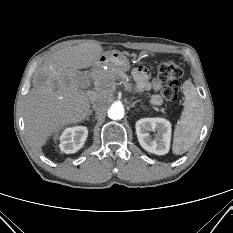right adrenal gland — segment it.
Instances as JSON below:
<instances>
[{"instance_id": "1", "label": "right adrenal gland", "mask_w": 233, "mask_h": 233, "mask_svg": "<svg viewBox=\"0 0 233 233\" xmlns=\"http://www.w3.org/2000/svg\"><path fill=\"white\" fill-rule=\"evenodd\" d=\"M93 114V110H89V112H88V115H87V117H86V120H89L90 119V115H92Z\"/></svg>"}]
</instances>
